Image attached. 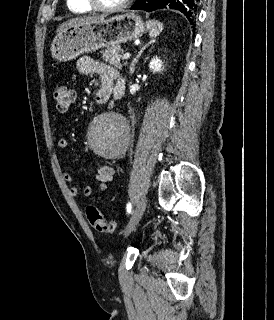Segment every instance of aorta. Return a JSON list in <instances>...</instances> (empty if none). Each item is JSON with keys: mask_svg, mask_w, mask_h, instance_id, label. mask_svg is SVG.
Here are the masks:
<instances>
[{"mask_svg": "<svg viewBox=\"0 0 274 320\" xmlns=\"http://www.w3.org/2000/svg\"><path fill=\"white\" fill-rule=\"evenodd\" d=\"M129 124L118 113L109 112L99 115L88 131V144L98 155L104 158H116L127 145Z\"/></svg>", "mask_w": 274, "mask_h": 320, "instance_id": "1", "label": "aorta"}]
</instances>
